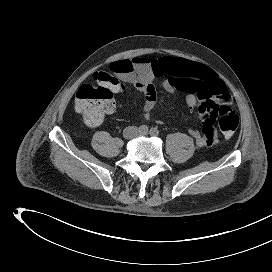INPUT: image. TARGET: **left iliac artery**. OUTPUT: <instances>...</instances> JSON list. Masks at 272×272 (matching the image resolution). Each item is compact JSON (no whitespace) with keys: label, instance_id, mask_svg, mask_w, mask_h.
<instances>
[{"label":"left iliac artery","instance_id":"44dca946","mask_svg":"<svg viewBox=\"0 0 272 272\" xmlns=\"http://www.w3.org/2000/svg\"><path fill=\"white\" fill-rule=\"evenodd\" d=\"M151 136H158L159 135V130L157 128H151L149 131Z\"/></svg>","mask_w":272,"mask_h":272}]
</instances>
